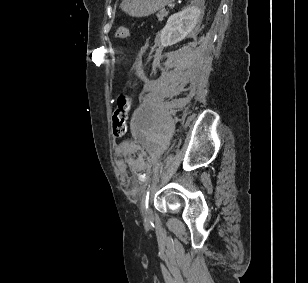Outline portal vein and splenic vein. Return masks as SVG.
<instances>
[{
    "mask_svg": "<svg viewBox=\"0 0 308 283\" xmlns=\"http://www.w3.org/2000/svg\"><path fill=\"white\" fill-rule=\"evenodd\" d=\"M174 6H175V5H174V4H172L169 8H170V9H172Z\"/></svg>",
    "mask_w": 308,
    "mask_h": 283,
    "instance_id": "1",
    "label": "portal vein and splenic vein"
}]
</instances>
